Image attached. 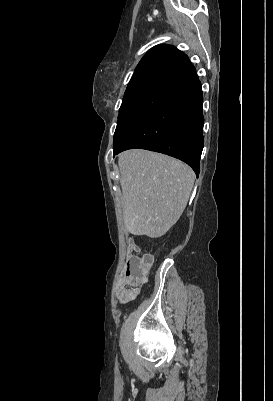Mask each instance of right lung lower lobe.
Listing matches in <instances>:
<instances>
[{
	"instance_id": "1",
	"label": "right lung lower lobe",
	"mask_w": 273,
	"mask_h": 401,
	"mask_svg": "<svg viewBox=\"0 0 273 401\" xmlns=\"http://www.w3.org/2000/svg\"><path fill=\"white\" fill-rule=\"evenodd\" d=\"M202 88L199 78L169 95L116 150L141 148L178 158L199 174L204 145Z\"/></svg>"
}]
</instances>
